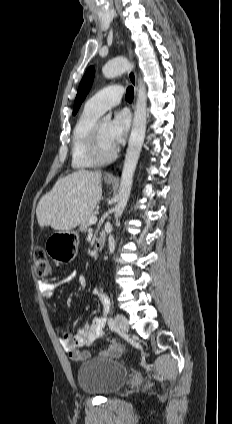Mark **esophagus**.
I'll return each instance as SVG.
<instances>
[{"mask_svg": "<svg viewBox=\"0 0 232 424\" xmlns=\"http://www.w3.org/2000/svg\"><path fill=\"white\" fill-rule=\"evenodd\" d=\"M128 52H129V59L132 62V64H134L133 55H132V51H131L130 48H128ZM128 78H129L131 84L134 87V102H135L136 95H137V76H136V72L133 68L130 69V71L128 72ZM105 177L107 179H115V176L113 175V173H108Z\"/></svg>", "mask_w": 232, "mask_h": 424, "instance_id": "esophagus-1", "label": "esophagus"}]
</instances>
